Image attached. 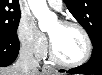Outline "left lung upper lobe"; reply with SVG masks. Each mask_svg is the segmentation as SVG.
<instances>
[{
  "instance_id": "left-lung-upper-lobe-1",
  "label": "left lung upper lobe",
  "mask_w": 102,
  "mask_h": 75,
  "mask_svg": "<svg viewBox=\"0 0 102 75\" xmlns=\"http://www.w3.org/2000/svg\"><path fill=\"white\" fill-rule=\"evenodd\" d=\"M75 19L87 31L92 44L102 41V1L64 0Z\"/></svg>"
}]
</instances>
